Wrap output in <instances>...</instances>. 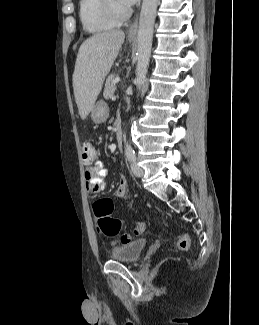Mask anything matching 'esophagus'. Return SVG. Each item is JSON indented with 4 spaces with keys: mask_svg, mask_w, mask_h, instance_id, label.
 Instances as JSON below:
<instances>
[{
    "mask_svg": "<svg viewBox=\"0 0 259 325\" xmlns=\"http://www.w3.org/2000/svg\"><path fill=\"white\" fill-rule=\"evenodd\" d=\"M137 29H138V14L136 15V17L134 18L133 22L131 23V25L127 30L128 37L130 38L136 37Z\"/></svg>",
    "mask_w": 259,
    "mask_h": 325,
    "instance_id": "obj_1",
    "label": "esophagus"
}]
</instances>
